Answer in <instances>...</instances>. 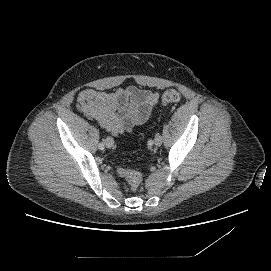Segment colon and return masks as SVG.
I'll return each instance as SVG.
<instances>
[{"label": "colon", "mask_w": 271, "mask_h": 271, "mask_svg": "<svg viewBox=\"0 0 271 271\" xmlns=\"http://www.w3.org/2000/svg\"><path fill=\"white\" fill-rule=\"evenodd\" d=\"M179 100L180 94L176 90L170 89L164 92V94L162 95L161 103H176ZM117 173L121 178L127 181L132 191H136L142 184L143 176L138 171L118 168Z\"/></svg>", "instance_id": "obj_1"}]
</instances>
